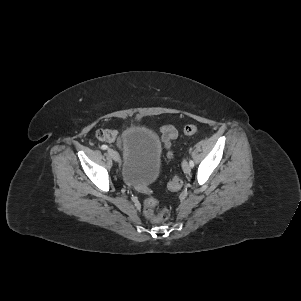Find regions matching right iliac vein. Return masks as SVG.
<instances>
[{"instance_id": "obj_1", "label": "right iliac vein", "mask_w": 301, "mask_h": 301, "mask_svg": "<svg viewBox=\"0 0 301 301\" xmlns=\"http://www.w3.org/2000/svg\"><path fill=\"white\" fill-rule=\"evenodd\" d=\"M107 152H108V154L110 155V157H111L114 161L120 163V156H119V154H118L117 151H115L114 149L109 148Z\"/></svg>"}]
</instances>
